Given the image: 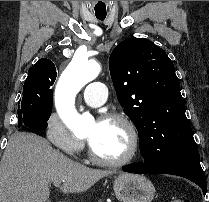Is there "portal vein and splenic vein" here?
I'll list each match as a JSON object with an SVG mask.
<instances>
[{
	"instance_id": "portal-vein-and-splenic-vein-1",
	"label": "portal vein and splenic vein",
	"mask_w": 209,
	"mask_h": 202,
	"mask_svg": "<svg viewBox=\"0 0 209 202\" xmlns=\"http://www.w3.org/2000/svg\"><path fill=\"white\" fill-rule=\"evenodd\" d=\"M53 184H54L56 187H59V186H60V181H54Z\"/></svg>"
}]
</instances>
